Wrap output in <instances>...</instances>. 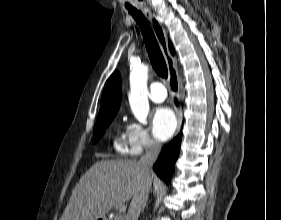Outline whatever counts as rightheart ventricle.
<instances>
[{
	"instance_id": "1",
	"label": "right heart ventricle",
	"mask_w": 281,
	"mask_h": 220,
	"mask_svg": "<svg viewBox=\"0 0 281 220\" xmlns=\"http://www.w3.org/2000/svg\"><path fill=\"white\" fill-rule=\"evenodd\" d=\"M113 145H114V148L116 149V151L121 154H124V155L135 154L128 143L126 133H122V132L118 131L117 135L114 138Z\"/></svg>"
}]
</instances>
